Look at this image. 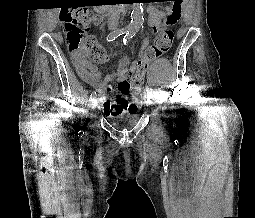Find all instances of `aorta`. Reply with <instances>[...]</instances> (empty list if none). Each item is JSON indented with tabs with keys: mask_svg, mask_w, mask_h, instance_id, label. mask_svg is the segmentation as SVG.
<instances>
[{
	"mask_svg": "<svg viewBox=\"0 0 255 218\" xmlns=\"http://www.w3.org/2000/svg\"><path fill=\"white\" fill-rule=\"evenodd\" d=\"M143 23V8L142 3H133L131 13V23L128 26L130 31H137Z\"/></svg>",
	"mask_w": 255,
	"mask_h": 218,
	"instance_id": "aorta-1",
	"label": "aorta"
}]
</instances>
